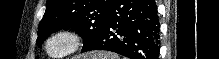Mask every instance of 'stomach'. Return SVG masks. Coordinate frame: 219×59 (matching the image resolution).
Wrapping results in <instances>:
<instances>
[{
  "label": "stomach",
  "mask_w": 219,
  "mask_h": 59,
  "mask_svg": "<svg viewBox=\"0 0 219 59\" xmlns=\"http://www.w3.org/2000/svg\"><path fill=\"white\" fill-rule=\"evenodd\" d=\"M90 57H92L93 59H105L103 58V54H91ZM104 57H109V56H104Z\"/></svg>",
  "instance_id": "1"
}]
</instances>
